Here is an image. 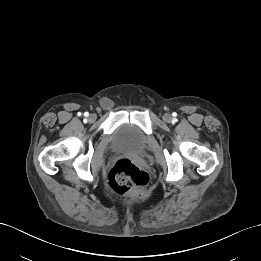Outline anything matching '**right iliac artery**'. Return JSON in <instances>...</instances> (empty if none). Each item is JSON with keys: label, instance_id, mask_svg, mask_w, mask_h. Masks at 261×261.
I'll return each mask as SVG.
<instances>
[{"label": "right iliac artery", "instance_id": "82829eb1", "mask_svg": "<svg viewBox=\"0 0 261 261\" xmlns=\"http://www.w3.org/2000/svg\"><path fill=\"white\" fill-rule=\"evenodd\" d=\"M84 115L87 117L89 114H88V113H85Z\"/></svg>", "mask_w": 261, "mask_h": 261}]
</instances>
